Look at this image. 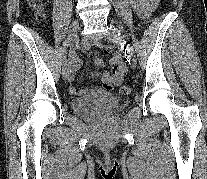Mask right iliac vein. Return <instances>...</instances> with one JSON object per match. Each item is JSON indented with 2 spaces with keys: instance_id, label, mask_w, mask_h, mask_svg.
<instances>
[{
  "instance_id": "right-iliac-vein-1",
  "label": "right iliac vein",
  "mask_w": 207,
  "mask_h": 179,
  "mask_svg": "<svg viewBox=\"0 0 207 179\" xmlns=\"http://www.w3.org/2000/svg\"><path fill=\"white\" fill-rule=\"evenodd\" d=\"M78 27V21L74 20L68 33L67 41H69L70 44H72L76 40ZM62 76L64 80H67L70 76L69 66L67 62L63 65Z\"/></svg>"
}]
</instances>
